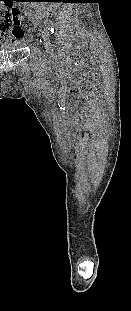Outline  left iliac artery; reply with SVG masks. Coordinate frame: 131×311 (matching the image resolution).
<instances>
[{"mask_svg":"<svg viewBox=\"0 0 131 311\" xmlns=\"http://www.w3.org/2000/svg\"><path fill=\"white\" fill-rule=\"evenodd\" d=\"M45 26L48 28V30L51 32V34L54 33V24L51 20H46Z\"/></svg>","mask_w":131,"mask_h":311,"instance_id":"obj_1","label":"left iliac artery"}]
</instances>
